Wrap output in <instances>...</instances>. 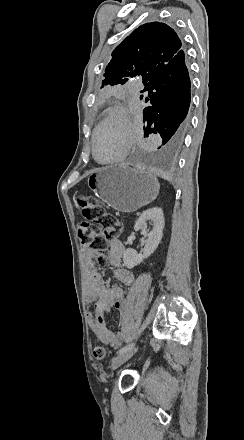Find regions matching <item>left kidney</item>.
<instances>
[{
	"instance_id": "1",
	"label": "left kidney",
	"mask_w": 244,
	"mask_h": 440,
	"mask_svg": "<svg viewBox=\"0 0 244 440\" xmlns=\"http://www.w3.org/2000/svg\"><path fill=\"white\" fill-rule=\"evenodd\" d=\"M147 222H152L153 228L151 232L146 230ZM164 226L165 222L161 208H150V210H145V212L139 216L137 222H135L134 230L135 232L145 230L148 240L145 242L143 254H137L136 250H131V248L125 250L123 262L126 268L131 270L134 266L141 264L144 258H149V256L155 252L162 240Z\"/></svg>"
}]
</instances>
